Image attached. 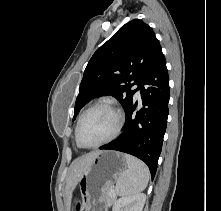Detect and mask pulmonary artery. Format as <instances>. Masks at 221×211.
<instances>
[{
    "label": "pulmonary artery",
    "instance_id": "1",
    "mask_svg": "<svg viewBox=\"0 0 221 211\" xmlns=\"http://www.w3.org/2000/svg\"><path fill=\"white\" fill-rule=\"evenodd\" d=\"M135 88H137V86H136ZM135 96H136V98H138V99L140 98V96H141L140 90H137V91H136Z\"/></svg>",
    "mask_w": 221,
    "mask_h": 211
}]
</instances>
